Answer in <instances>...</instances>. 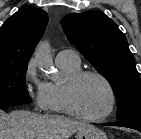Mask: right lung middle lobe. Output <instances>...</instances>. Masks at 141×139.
I'll return each instance as SVG.
<instances>
[{
	"label": "right lung middle lobe",
	"instance_id": "1",
	"mask_svg": "<svg viewBox=\"0 0 141 139\" xmlns=\"http://www.w3.org/2000/svg\"><path fill=\"white\" fill-rule=\"evenodd\" d=\"M27 63L0 64V109L31 103L25 85Z\"/></svg>",
	"mask_w": 141,
	"mask_h": 139
}]
</instances>
